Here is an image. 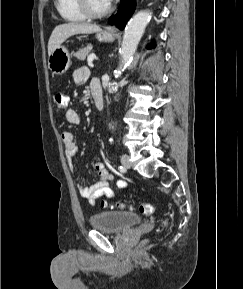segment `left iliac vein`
<instances>
[{
    "label": "left iliac vein",
    "instance_id": "obj_1",
    "mask_svg": "<svg viewBox=\"0 0 243 289\" xmlns=\"http://www.w3.org/2000/svg\"><path fill=\"white\" fill-rule=\"evenodd\" d=\"M121 163H122V165H123V167H124L125 169L130 168L131 163H130V157H129V155H127V154L122 155V157H121Z\"/></svg>",
    "mask_w": 243,
    "mask_h": 289
}]
</instances>
